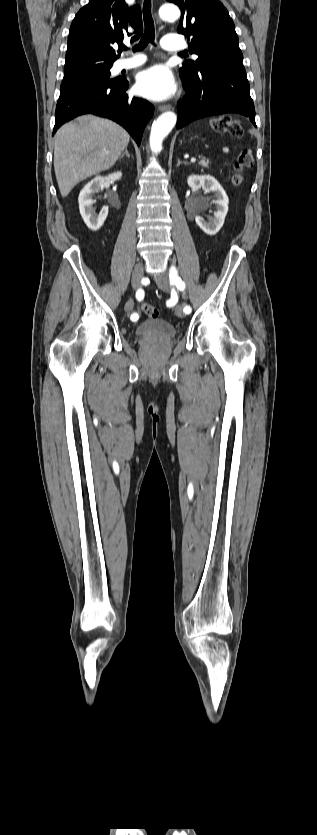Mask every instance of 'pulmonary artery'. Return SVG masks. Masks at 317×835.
Instances as JSON below:
<instances>
[{
    "instance_id": "1",
    "label": "pulmonary artery",
    "mask_w": 317,
    "mask_h": 835,
    "mask_svg": "<svg viewBox=\"0 0 317 835\" xmlns=\"http://www.w3.org/2000/svg\"><path fill=\"white\" fill-rule=\"evenodd\" d=\"M163 49L173 52H178L184 50L187 46L184 41H182L177 35H166L162 39L161 43ZM128 50H132L131 47H128ZM145 57L141 54H136L131 57H124L120 58L116 62V69L117 70H124V69H131L140 66L145 62Z\"/></svg>"
}]
</instances>
